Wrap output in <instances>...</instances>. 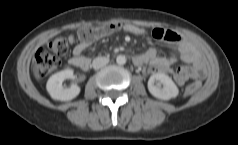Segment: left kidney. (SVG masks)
Masks as SVG:
<instances>
[{"label": "left kidney", "instance_id": "obj_1", "mask_svg": "<svg viewBox=\"0 0 238 145\" xmlns=\"http://www.w3.org/2000/svg\"><path fill=\"white\" fill-rule=\"evenodd\" d=\"M155 82L157 83L156 85ZM148 90L154 97L162 100L175 98L179 93L173 80L164 73H155L149 78Z\"/></svg>", "mask_w": 238, "mask_h": 145}]
</instances>
